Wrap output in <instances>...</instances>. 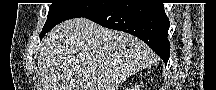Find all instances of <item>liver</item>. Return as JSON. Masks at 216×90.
Here are the masks:
<instances>
[{"instance_id": "obj_1", "label": "liver", "mask_w": 216, "mask_h": 90, "mask_svg": "<svg viewBox=\"0 0 216 90\" xmlns=\"http://www.w3.org/2000/svg\"><path fill=\"white\" fill-rule=\"evenodd\" d=\"M153 52L139 38L87 18L55 26L42 40L39 90H118L150 66Z\"/></svg>"}]
</instances>
